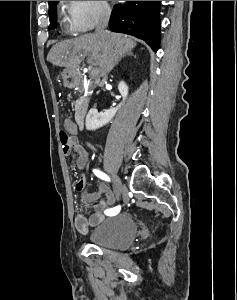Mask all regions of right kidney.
Masks as SVG:
<instances>
[{"instance_id":"right-kidney-1","label":"right kidney","mask_w":237,"mask_h":300,"mask_svg":"<svg viewBox=\"0 0 237 300\" xmlns=\"http://www.w3.org/2000/svg\"><path fill=\"white\" fill-rule=\"evenodd\" d=\"M118 91L121 93L123 97V101H125L128 95V87L124 81H121L118 85ZM120 107H122V103L114 107V109H109V111H105V113H98L97 109H90L88 115H86V129L87 131H96V129H100V127H104L107 123L112 121L113 117H115L117 111H119Z\"/></svg>"}]
</instances>
